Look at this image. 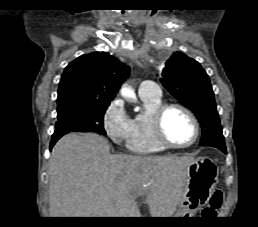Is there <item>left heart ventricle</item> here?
I'll use <instances>...</instances> for the list:
<instances>
[{
  "label": "left heart ventricle",
  "mask_w": 258,
  "mask_h": 227,
  "mask_svg": "<svg viewBox=\"0 0 258 227\" xmlns=\"http://www.w3.org/2000/svg\"><path fill=\"white\" fill-rule=\"evenodd\" d=\"M164 132L175 143H188L194 137L190 118L179 109H171L164 118Z\"/></svg>",
  "instance_id": "1"
}]
</instances>
